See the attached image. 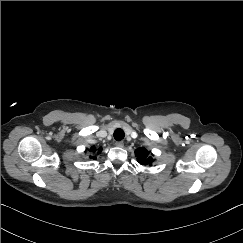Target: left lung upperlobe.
<instances>
[{"mask_svg": "<svg viewBox=\"0 0 243 243\" xmlns=\"http://www.w3.org/2000/svg\"><path fill=\"white\" fill-rule=\"evenodd\" d=\"M135 156L137 160L142 165H148L152 161V157L150 156V152L145 148H138L135 150Z\"/></svg>", "mask_w": 243, "mask_h": 243, "instance_id": "obj_1", "label": "left lung upper lobe"}]
</instances>
